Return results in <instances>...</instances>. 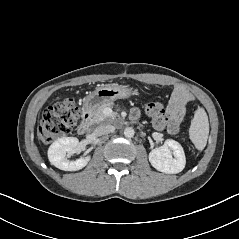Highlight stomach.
Wrapping results in <instances>:
<instances>
[{
    "mask_svg": "<svg viewBox=\"0 0 239 239\" xmlns=\"http://www.w3.org/2000/svg\"><path fill=\"white\" fill-rule=\"evenodd\" d=\"M133 95V90L120 85H105L96 88L84 100L83 111L94 114L99 107L111 103L117 99L129 98Z\"/></svg>",
    "mask_w": 239,
    "mask_h": 239,
    "instance_id": "stomach-1",
    "label": "stomach"
}]
</instances>
